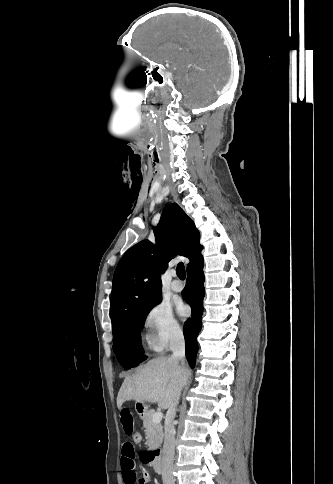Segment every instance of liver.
I'll list each match as a JSON object with an SVG mask.
<instances>
[{"label": "liver", "instance_id": "liver-1", "mask_svg": "<svg viewBox=\"0 0 333 484\" xmlns=\"http://www.w3.org/2000/svg\"><path fill=\"white\" fill-rule=\"evenodd\" d=\"M187 369L172 358L158 357L149 360L136 373L124 379L117 396L120 410L126 401L157 403L169 409L177 393L186 382Z\"/></svg>", "mask_w": 333, "mask_h": 484}]
</instances>
